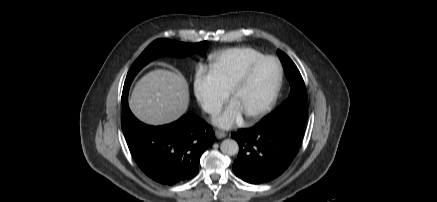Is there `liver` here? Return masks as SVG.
<instances>
[{
  "mask_svg": "<svg viewBox=\"0 0 437 202\" xmlns=\"http://www.w3.org/2000/svg\"><path fill=\"white\" fill-rule=\"evenodd\" d=\"M189 103V87L180 73L157 69L144 75L129 99L132 113L149 125H163L182 116Z\"/></svg>",
  "mask_w": 437,
  "mask_h": 202,
  "instance_id": "liver-1",
  "label": "liver"
}]
</instances>
